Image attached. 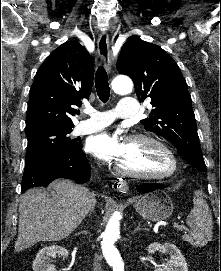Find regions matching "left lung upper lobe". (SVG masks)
<instances>
[{"mask_svg": "<svg viewBox=\"0 0 221 271\" xmlns=\"http://www.w3.org/2000/svg\"><path fill=\"white\" fill-rule=\"evenodd\" d=\"M120 74L132 78L140 101L151 98L145 129L170 141L194 169L206 171L197 134L191 96L177 63L159 46L131 37L117 61Z\"/></svg>", "mask_w": 221, "mask_h": 271, "instance_id": "1", "label": "left lung upper lobe"}]
</instances>
